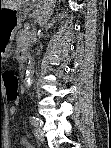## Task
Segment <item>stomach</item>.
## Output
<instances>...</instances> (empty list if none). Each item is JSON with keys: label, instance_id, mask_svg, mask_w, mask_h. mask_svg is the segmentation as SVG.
Listing matches in <instances>:
<instances>
[{"label": "stomach", "instance_id": "stomach-1", "mask_svg": "<svg viewBox=\"0 0 111 148\" xmlns=\"http://www.w3.org/2000/svg\"><path fill=\"white\" fill-rule=\"evenodd\" d=\"M20 9L0 8V56L4 57L11 48L16 31L21 26Z\"/></svg>", "mask_w": 111, "mask_h": 148}]
</instances>
